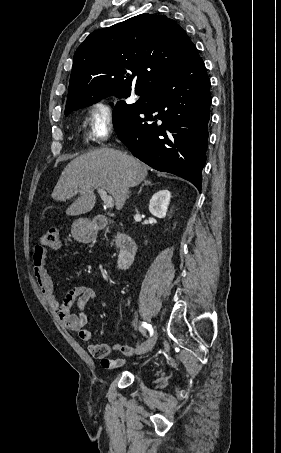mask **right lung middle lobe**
Returning a JSON list of instances; mask_svg holds the SVG:
<instances>
[{
	"label": "right lung middle lobe",
	"instance_id": "obj_1",
	"mask_svg": "<svg viewBox=\"0 0 281 453\" xmlns=\"http://www.w3.org/2000/svg\"><path fill=\"white\" fill-rule=\"evenodd\" d=\"M68 114H69V112H68V113H65V116H67Z\"/></svg>",
	"mask_w": 281,
	"mask_h": 453
}]
</instances>
